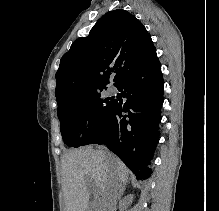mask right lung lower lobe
I'll return each instance as SVG.
<instances>
[{
    "label": "right lung lower lobe",
    "mask_w": 219,
    "mask_h": 211,
    "mask_svg": "<svg viewBox=\"0 0 219 211\" xmlns=\"http://www.w3.org/2000/svg\"><path fill=\"white\" fill-rule=\"evenodd\" d=\"M163 86L157 56L131 71L116 85L119 90L124 89L126 102L115 100L108 117L92 130L86 145H106L137 179H147L151 174L147 164L159 140Z\"/></svg>",
    "instance_id": "right-lung-lower-lobe-1"
}]
</instances>
